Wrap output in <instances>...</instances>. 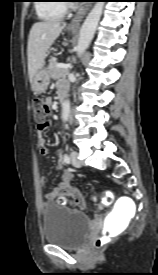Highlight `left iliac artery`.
I'll use <instances>...</instances> for the list:
<instances>
[{"label":"left iliac artery","instance_id":"44dca946","mask_svg":"<svg viewBox=\"0 0 158 275\" xmlns=\"http://www.w3.org/2000/svg\"><path fill=\"white\" fill-rule=\"evenodd\" d=\"M63 160H64V162L67 163V164L70 163V157H69L67 154H65V155L63 156Z\"/></svg>","mask_w":158,"mask_h":275}]
</instances>
